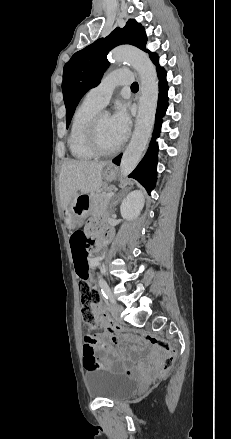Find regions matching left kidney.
Instances as JSON below:
<instances>
[{
  "instance_id": "5707ae66",
  "label": "left kidney",
  "mask_w": 231,
  "mask_h": 439,
  "mask_svg": "<svg viewBox=\"0 0 231 439\" xmlns=\"http://www.w3.org/2000/svg\"><path fill=\"white\" fill-rule=\"evenodd\" d=\"M144 206V194L140 190L130 192L121 203V216L126 220H134L139 215Z\"/></svg>"
}]
</instances>
